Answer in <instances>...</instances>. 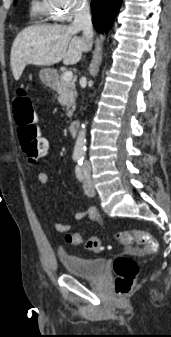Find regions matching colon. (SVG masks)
Here are the masks:
<instances>
[{
  "label": "colon",
  "instance_id": "obj_1",
  "mask_svg": "<svg viewBox=\"0 0 171 337\" xmlns=\"http://www.w3.org/2000/svg\"><path fill=\"white\" fill-rule=\"evenodd\" d=\"M13 108L19 141L27 161L35 163L41 157L49 156L50 151H53V144H48V137H44V133L39 132L29 96L25 92H19L14 100ZM65 239L72 245L83 242L79 232H69ZM115 239L120 245L133 248L139 253H153L158 249L157 240L148 231H120L116 233ZM85 247L90 251L100 252L104 248V242L99 238L90 237L85 241ZM113 270L116 292L120 295L128 294L138 274V265L128 256H119L114 261Z\"/></svg>",
  "mask_w": 171,
  "mask_h": 337
}]
</instances>
